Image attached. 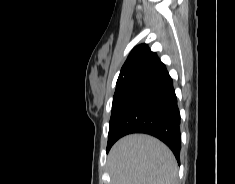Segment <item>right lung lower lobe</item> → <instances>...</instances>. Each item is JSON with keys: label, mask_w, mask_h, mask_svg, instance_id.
Returning a JSON list of instances; mask_svg holds the SVG:
<instances>
[{"label": "right lung lower lobe", "mask_w": 235, "mask_h": 184, "mask_svg": "<svg viewBox=\"0 0 235 184\" xmlns=\"http://www.w3.org/2000/svg\"><path fill=\"white\" fill-rule=\"evenodd\" d=\"M131 133H145L160 139L180 164V113L173 80L163 63L125 90L110 119L113 144Z\"/></svg>", "instance_id": "98d812e1"}]
</instances>
